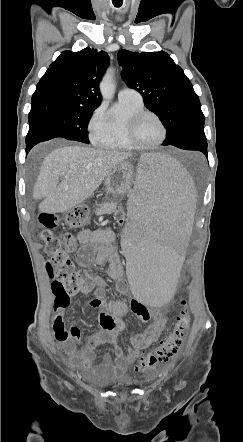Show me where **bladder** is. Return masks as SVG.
Masks as SVG:
<instances>
[{"label":"bladder","instance_id":"1","mask_svg":"<svg viewBox=\"0 0 243 442\" xmlns=\"http://www.w3.org/2000/svg\"><path fill=\"white\" fill-rule=\"evenodd\" d=\"M129 381L127 380V379H125V378H121V379H114L112 382H111V385L112 386H121V385H125V384H127Z\"/></svg>","mask_w":243,"mask_h":442}]
</instances>
